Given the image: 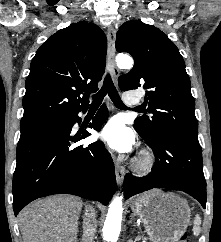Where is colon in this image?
<instances>
[{
    "instance_id": "5ec220e1",
    "label": "colon",
    "mask_w": 221,
    "mask_h": 242,
    "mask_svg": "<svg viewBox=\"0 0 221 242\" xmlns=\"http://www.w3.org/2000/svg\"><path fill=\"white\" fill-rule=\"evenodd\" d=\"M179 242H188L185 234L180 237Z\"/></svg>"
}]
</instances>
